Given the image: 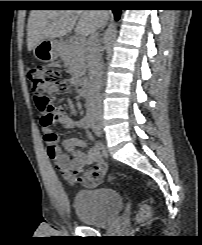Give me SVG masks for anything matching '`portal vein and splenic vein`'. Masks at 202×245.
<instances>
[{
  "mask_svg": "<svg viewBox=\"0 0 202 245\" xmlns=\"http://www.w3.org/2000/svg\"><path fill=\"white\" fill-rule=\"evenodd\" d=\"M75 43H76V44H84V43H85V40H84V38H82V37H77V38L75 39Z\"/></svg>",
  "mask_w": 202,
  "mask_h": 245,
  "instance_id": "1",
  "label": "portal vein and splenic vein"
}]
</instances>
